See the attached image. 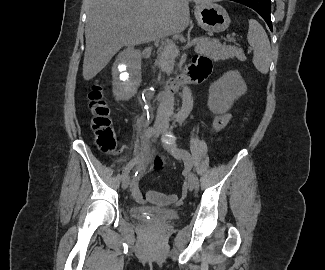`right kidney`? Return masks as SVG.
Returning <instances> with one entry per match:
<instances>
[{
	"label": "right kidney",
	"mask_w": 325,
	"mask_h": 270,
	"mask_svg": "<svg viewBox=\"0 0 325 270\" xmlns=\"http://www.w3.org/2000/svg\"><path fill=\"white\" fill-rule=\"evenodd\" d=\"M139 53L124 50L118 56L112 67L113 94L117 101H127L132 98L141 83Z\"/></svg>",
	"instance_id": "1"
}]
</instances>
